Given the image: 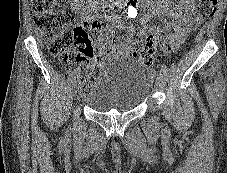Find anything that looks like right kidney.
Instances as JSON below:
<instances>
[{
    "instance_id": "1",
    "label": "right kidney",
    "mask_w": 227,
    "mask_h": 173,
    "mask_svg": "<svg viewBox=\"0 0 227 173\" xmlns=\"http://www.w3.org/2000/svg\"><path fill=\"white\" fill-rule=\"evenodd\" d=\"M85 0H72L71 9L79 10L82 6H84Z\"/></svg>"
}]
</instances>
